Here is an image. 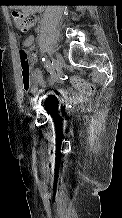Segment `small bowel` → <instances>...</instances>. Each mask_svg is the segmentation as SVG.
<instances>
[{
    "label": "small bowel",
    "instance_id": "c3829d8e",
    "mask_svg": "<svg viewBox=\"0 0 122 218\" xmlns=\"http://www.w3.org/2000/svg\"><path fill=\"white\" fill-rule=\"evenodd\" d=\"M23 46L28 47L31 49L30 54H31V64H35L37 62V53L34 48V37L33 35H28L24 41H23ZM41 89H46V83L43 78L42 71L38 68L34 69L32 71V88H31V93L34 95L32 101H36L37 95L39 92H41ZM82 91V90H81ZM83 92V91H82ZM85 93V92H83ZM60 94L63 97V99L67 100H74L77 98L76 94H70L67 90L61 89ZM89 94V93H85ZM50 96H54V94H49Z\"/></svg>",
    "mask_w": 122,
    "mask_h": 218
}]
</instances>
